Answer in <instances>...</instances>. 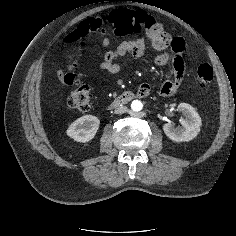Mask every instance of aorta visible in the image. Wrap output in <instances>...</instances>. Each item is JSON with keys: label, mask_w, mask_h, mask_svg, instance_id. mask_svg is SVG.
Here are the masks:
<instances>
[{"label": "aorta", "mask_w": 236, "mask_h": 236, "mask_svg": "<svg viewBox=\"0 0 236 236\" xmlns=\"http://www.w3.org/2000/svg\"><path fill=\"white\" fill-rule=\"evenodd\" d=\"M143 104L140 100H133L131 103V109L135 112L141 111Z\"/></svg>", "instance_id": "aorta-1"}]
</instances>
